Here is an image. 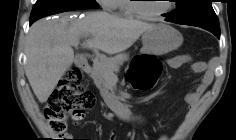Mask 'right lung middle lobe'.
<instances>
[{
    "mask_svg": "<svg viewBox=\"0 0 236 140\" xmlns=\"http://www.w3.org/2000/svg\"><path fill=\"white\" fill-rule=\"evenodd\" d=\"M98 7L95 0H37L30 15V21L65 11Z\"/></svg>",
    "mask_w": 236,
    "mask_h": 140,
    "instance_id": "right-lung-middle-lobe-1",
    "label": "right lung middle lobe"
}]
</instances>
